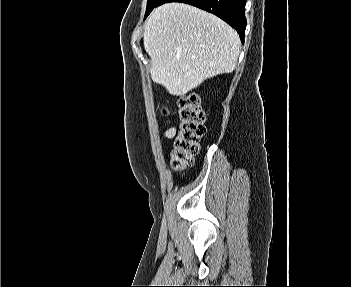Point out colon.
Returning a JSON list of instances; mask_svg holds the SVG:
<instances>
[{
  "label": "colon",
  "instance_id": "obj_1",
  "mask_svg": "<svg viewBox=\"0 0 351 287\" xmlns=\"http://www.w3.org/2000/svg\"><path fill=\"white\" fill-rule=\"evenodd\" d=\"M180 127L171 151V165L181 173L193 163L198 143L205 134V115L197 94L190 93L179 100Z\"/></svg>",
  "mask_w": 351,
  "mask_h": 287
}]
</instances>
